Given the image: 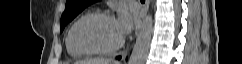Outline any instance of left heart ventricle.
<instances>
[{"label":"left heart ventricle","instance_id":"b2bd125f","mask_svg":"<svg viewBox=\"0 0 242 64\" xmlns=\"http://www.w3.org/2000/svg\"><path fill=\"white\" fill-rule=\"evenodd\" d=\"M77 39L86 47L101 49L116 45L122 38L114 19L93 18L79 27Z\"/></svg>","mask_w":242,"mask_h":64}]
</instances>
